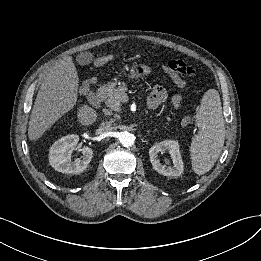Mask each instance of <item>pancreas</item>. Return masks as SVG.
Listing matches in <instances>:
<instances>
[{
    "instance_id": "pancreas-1",
    "label": "pancreas",
    "mask_w": 261,
    "mask_h": 261,
    "mask_svg": "<svg viewBox=\"0 0 261 261\" xmlns=\"http://www.w3.org/2000/svg\"><path fill=\"white\" fill-rule=\"evenodd\" d=\"M128 88L125 85H121L118 88H110L107 94L106 105L111 110L120 112L122 105V98L126 96ZM167 121H170V117H166Z\"/></svg>"
}]
</instances>
